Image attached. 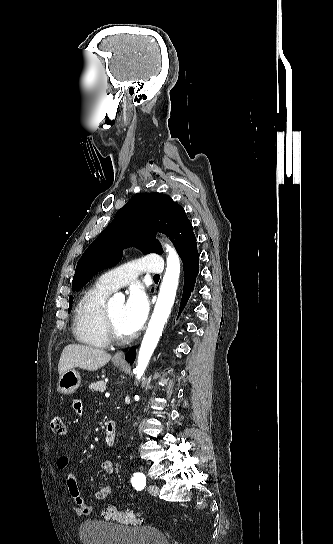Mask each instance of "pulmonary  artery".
I'll return each mask as SVG.
<instances>
[{
	"label": "pulmonary artery",
	"mask_w": 333,
	"mask_h": 544,
	"mask_svg": "<svg viewBox=\"0 0 333 544\" xmlns=\"http://www.w3.org/2000/svg\"><path fill=\"white\" fill-rule=\"evenodd\" d=\"M163 269L162 258L157 255H149L107 271L100 276L98 282L111 291H114L134 281L141 273L160 274L163 272Z\"/></svg>",
	"instance_id": "pulmonary-artery-1"
}]
</instances>
